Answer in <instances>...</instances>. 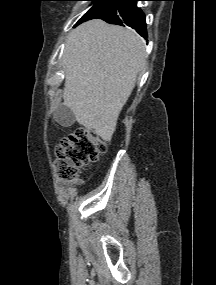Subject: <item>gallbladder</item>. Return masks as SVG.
<instances>
[{
	"instance_id": "1",
	"label": "gallbladder",
	"mask_w": 216,
	"mask_h": 285,
	"mask_svg": "<svg viewBox=\"0 0 216 285\" xmlns=\"http://www.w3.org/2000/svg\"><path fill=\"white\" fill-rule=\"evenodd\" d=\"M55 120L64 127L74 124L75 116L73 111L66 105H59L54 114Z\"/></svg>"
}]
</instances>
